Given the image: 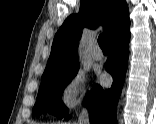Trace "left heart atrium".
<instances>
[{"label":"left heart atrium","instance_id":"obj_1","mask_svg":"<svg viewBox=\"0 0 156 124\" xmlns=\"http://www.w3.org/2000/svg\"><path fill=\"white\" fill-rule=\"evenodd\" d=\"M101 78H102V80H105V76L104 75Z\"/></svg>","mask_w":156,"mask_h":124}]
</instances>
